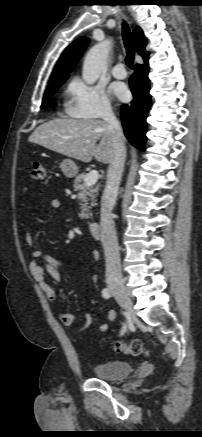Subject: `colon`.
<instances>
[{
  "label": "colon",
  "instance_id": "1",
  "mask_svg": "<svg viewBox=\"0 0 202 437\" xmlns=\"http://www.w3.org/2000/svg\"><path fill=\"white\" fill-rule=\"evenodd\" d=\"M46 176V170L45 166L41 162H34L32 166V177L34 179H44ZM114 351L118 353H124L131 356H139L142 354L147 355L149 352L145 349L143 343L138 340L134 339L129 343H125L123 341H116L113 344Z\"/></svg>",
  "mask_w": 202,
  "mask_h": 437
}]
</instances>
